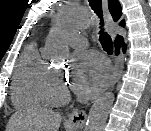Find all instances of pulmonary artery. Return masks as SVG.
I'll return each mask as SVG.
<instances>
[{
    "label": "pulmonary artery",
    "mask_w": 151,
    "mask_h": 131,
    "mask_svg": "<svg viewBox=\"0 0 151 131\" xmlns=\"http://www.w3.org/2000/svg\"><path fill=\"white\" fill-rule=\"evenodd\" d=\"M70 43L72 46L81 47L86 45V40L84 37L75 34L71 36Z\"/></svg>",
    "instance_id": "obj_1"
}]
</instances>
